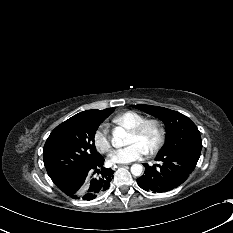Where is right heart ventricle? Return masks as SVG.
<instances>
[{"mask_svg": "<svg viewBox=\"0 0 233 233\" xmlns=\"http://www.w3.org/2000/svg\"><path fill=\"white\" fill-rule=\"evenodd\" d=\"M145 119L146 118L143 114L129 110L115 116L113 118V122L118 126L130 129L135 127Z\"/></svg>", "mask_w": 233, "mask_h": 233, "instance_id": "right-heart-ventricle-1", "label": "right heart ventricle"}]
</instances>
